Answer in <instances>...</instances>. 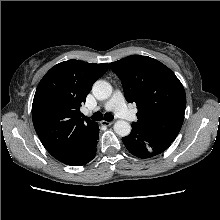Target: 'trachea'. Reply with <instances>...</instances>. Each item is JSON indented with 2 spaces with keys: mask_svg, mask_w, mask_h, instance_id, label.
Returning <instances> with one entry per match:
<instances>
[{
  "mask_svg": "<svg viewBox=\"0 0 220 220\" xmlns=\"http://www.w3.org/2000/svg\"><path fill=\"white\" fill-rule=\"evenodd\" d=\"M84 118H86V116H84ZM91 118L95 121H101L102 119L105 121H111L114 119V116L109 113L102 115L101 112H95Z\"/></svg>",
  "mask_w": 220,
  "mask_h": 220,
  "instance_id": "trachea-1",
  "label": "trachea"
}]
</instances>
